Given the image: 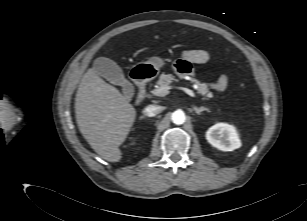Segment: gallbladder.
<instances>
[{"mask_svg":"<svg viewBox=\"0 0 307 221\" xmlns=\"http://www.w3.org/2000/svg\"><path fill=\"white\" fill-rule=\"evenodd\" d=\"M93 69L99 76H102L110 83L120 86L127 99H130L133 96V84L125 78L122 69L113 60L99 57L94 61Z\"/></svg>","mask_w":307,"mask_h":221,"instance_id":"gallbladder-1","label":"gallbladder"}]
</instances>
